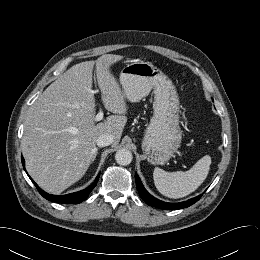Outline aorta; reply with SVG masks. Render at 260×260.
I'll use <instances>...</instances> for the list:
<instances>
[{"instance_id":"762f6f07","label":"aorta","mask_w":260,"mask_h":260,"mask_svg":"<svg viewBox=\"0 0 260 260\" xmlns=\"http://www.w3.org/2000/svg\"><path fill=\"white\" fill-rule=\"evenodd\" d=\"M133 156L130 150L122 148L115 154V160L119 165L126 166L132 162Z\"/></svg>"}]
</instances>
